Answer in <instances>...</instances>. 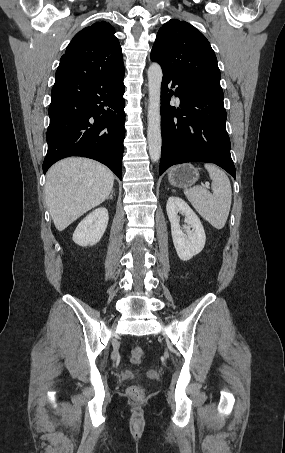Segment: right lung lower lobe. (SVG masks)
<instances>
[{"label":"right lung lower lobe","instance_id":"1","mask_svg":"<svg viewBox=\"0 0 285 453\" xmlns=\"http://www.w3.org/2000/svg\"><path fill=\"white\" fill-rule=\"evenodd\" d=\"M124 71L99 76L55 78L46 133L43 172L69 156L95 159L119 179L125 137Z\"/></svg>","mask_w":285,"mask_h":453}]
</instances>
